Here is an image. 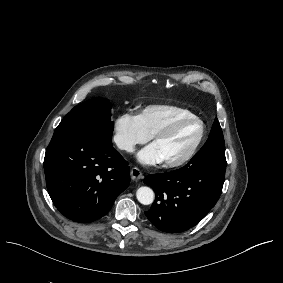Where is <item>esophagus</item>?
Wrapping results in <instances>:
<instances>
[{"label": "esophagus", "mask_w": 283, "mask_h": 283, "mask_svg": "<svg viewBox=\"0 0 283 283\" xmlns=\"http://www.w3.org/2000/svg\"><path fill=\"white\" fill-rule=\"evenodd\" d=\"M130 174H131V178L134 180H139L143 177L142 172L136 167L131 169Z\"/></svg>", "instance_id": "34e87169"}]
</instances>
